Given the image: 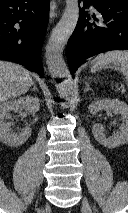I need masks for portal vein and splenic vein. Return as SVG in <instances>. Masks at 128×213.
Segmentation results:
<instances>
[{
    "instance_id": "portal-vein-and-splenic-vein-1",
    "label": "portal vein and splenic vein",
    "mask_w": 128,
    "mask_h": 213,
    "mask_svg": "<svg viewBox=\"0 0 128 213\" xmlns=\"http://www.w3.org/2000/svg\"><path fill=\"white\" fill-rule=\"evenodd\" d=\"M125 91H126L125 87H122V93H125Z\"/></svg>"
}]
</instances>
